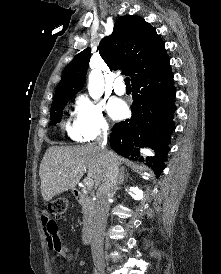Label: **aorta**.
<instances>
[{
  "label": "aorta",
  "mask_w": 221,
  "mask_h": 274,
  "mask_svg": "<svg viewBox=\"0 0 221 274\" xmlns=\"http://www.w3.org/2000/svg\"><path fill=\"white\" fill-rule=\"evenodd\" d=\"M103 78L98 71H91L88 78V91L92 98H99L103 93Z\"/></svg>",
  "instance_id": "1"
}]
</instances>
